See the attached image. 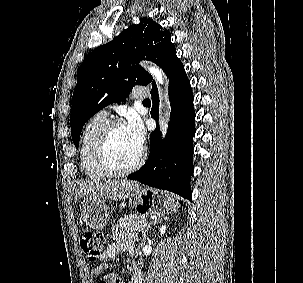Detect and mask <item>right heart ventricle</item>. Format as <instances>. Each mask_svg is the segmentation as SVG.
<instances>
[{"label":"right heart ventricle","instance_id":"e07e8e85","mask_svg":"<svg viewBox=\"0 0 303 283\" xmlns=\"http://www.w3.org/2000/svg\"><path fill=\"white\" fill-rule=\"evenodd\" d=\"M108 121V115L103 112H98L89 119L82 133L80 143V165L85 176L92 181H101L108 177V175L101 171L97 166L94 157L96 139Z\"/></svg>","mask_w":303,"mask_h":283}]
</instances>
